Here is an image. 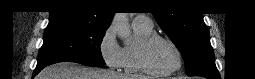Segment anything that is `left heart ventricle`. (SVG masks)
Instances as JSON below:
<instances>
[{
	"mask_svg": "<svg viewBox=\"0 0 255 79\" xmlns=\"http://www.w3.org/2000/svg\"><path fill=\"white\" fill-rule=\"evenodd\" d=\"M148 63L156 71H166L176 64V54L169 43L158 39L148 50Z\"/></svg>",
	"mask_w": 255,
	"mask_h": 79,
	"instance_id": "left-heart-ventricle-1",
	"label": "left heart ventricle"
}]
</instances>
